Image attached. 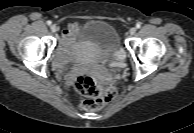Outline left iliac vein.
<instances>
[{
  "label": "left iliac vein",
  "instance_id": "4c4485c4",
  "mask_svg": "<svg viewBox=\"0 0 194 133\" xmlns=\"http://www.w3.org/2000/svg\"><path fill=\"white\" fill-rule=\"evenodd\" d=\"M129 33L130 35H134L136 33V28L135 27H132L130 30H129Z\"/></svg>",
  "mask_w": 194,
  "mask_h": 133
}]
</instances>
